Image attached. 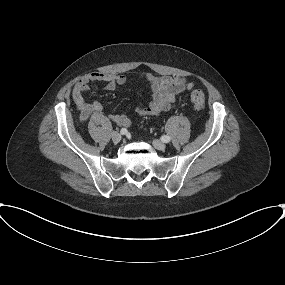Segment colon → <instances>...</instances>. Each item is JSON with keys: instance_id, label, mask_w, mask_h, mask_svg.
Wrapping results in <instances>:
<instances>
[{"instance_id": "obj_1", "label": "colon", "mask_w": 285, "mask_h": 285, "mask_svg": "<svg viewBox=\"0 0 285 285\" xmlns=\"http://www.w3.org/2000/svg\"><path fill=\"white\" fill-rule=\"evenodd\" d=\"M191 89V102L193 103L197 111H201L205 107V97L204 93L200 89H194L192 85H189Z\"/></svg>"}]
</instances>
